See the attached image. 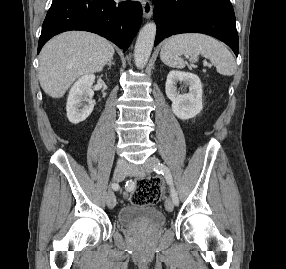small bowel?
<instances>
[{
    "label": "small bowel",
    "mask_w": 286,
    "mask_h": 269,
    "mask_svg": "<svg viewBox=\"0 0 286 269\" xmlns=\"http://www.w3.org/2000/svg\"><path fill=\"white\" fill-rule=\"evenodd\" d=\"M132 189H133V187H128L127 188L128 191H131Z\"/></svg>",
    "instance_id": "obj_1"
}]
</instances>
